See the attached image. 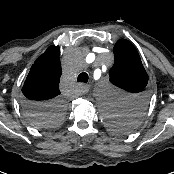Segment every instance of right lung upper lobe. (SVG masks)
Listing matches in <instances>:
<instances>
[{"instance_id": "obj_1", "label": "right lung upper lobe", "mask_w": 174, "mask_h": 174, "mask_svg": "<svg viewBox=\"0 0 174 174\" xmlns=\"http://www.w3.org/2000/svg\"><path fill=\"white\" fill-rule=\"evenodd\" d=\"M59 54L60 49L52 45L36 59L22 88L27 102L47 105L60 100L62 71Z\"/></svg>"}]
</instances>
